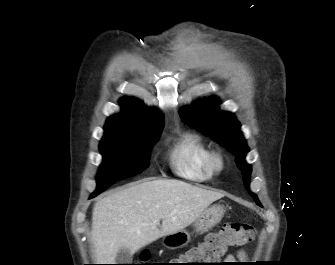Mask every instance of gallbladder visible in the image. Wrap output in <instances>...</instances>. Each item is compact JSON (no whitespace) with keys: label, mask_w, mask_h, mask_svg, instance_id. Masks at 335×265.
Returning <instances> with one entry per match:
<instances>
[{"label":"gallbladder","mask_w":335,"mask_h":265,"mask_svg":"<svg viewBox=\"0 0 335 265\" xmlns=\"http://www.w3.org/2000/svg\"><path fill=\"white\" fill-rule=\"evenodd\" d=\"M133 254L127 248H121L116 254L115 261L117 264H130Z\"/></svg>","instance_id":"1"}]
</instances>
